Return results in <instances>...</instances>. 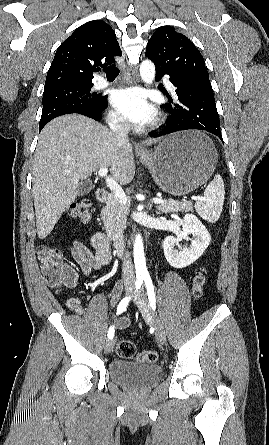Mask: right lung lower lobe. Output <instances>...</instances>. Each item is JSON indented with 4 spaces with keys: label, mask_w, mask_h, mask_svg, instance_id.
I'll return each instance as SVG.
<instances>
[{
    "label": "right lung lower lobe",
    "mask_w": 269,
    "mask_h": 445,
    "mask_svg": "<svg viewBox=\"0 0 269 445\" xmlns=\"http://www.w3.org/2000/svg\"><path fill=\"white\" fill-rule=\"evenodd\" d=\"M106 104H107V96H104L102 104L100 105V107L97 110H95L94 112H82V113H78V114H82V115L90 117L94 120L99 121L101 118V113L104 110V108L106 107ZM41 130L42 129H39V131H41Z\"/></svg>",
    "instance_id": "obj_1"
}]
</instances>
